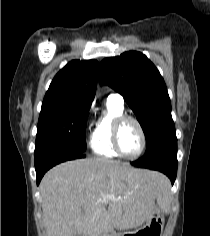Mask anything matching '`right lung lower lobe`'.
<instances>
[{
	"label": "right lung lower lobe",
	"instance_id": "1",
	"mask_svg": "<svg viewBox=\"0 0 210 236\" xmlns=\"http://www.w3.org/2000/svg\"><path fill=\"white\" fill-rule=\"evenodd\" d=\"M35 170L37 177V185L40 183L43 175L51 167L68 160L85 157L84 152L69 149L66 147H46L35 149Z\"/></svg>",
	"mask_w": 210,
	"mask_h": 236
}]
</instances>
